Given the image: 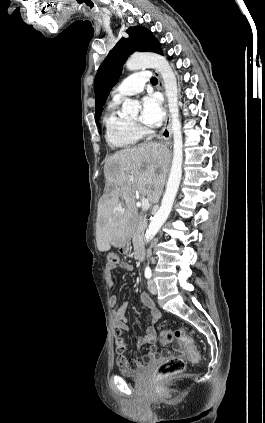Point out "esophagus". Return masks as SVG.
<instances>
[{"label": "esophagus", "instance_id": "1", "mask_svg": "<svg viewBox=\"0 0 265 423\" xmlns=\"http://www.w3.org/2000/svg\"><path fill=\"white\" fill-rule=\"evenodd\" d=\"M157 76L158 79V88L161 90V92L163 93L164 97H165V110H166V118H165V123H164V127L161 131L160 134V140L164 141V142H170L171 138H172V129H171V119H170V115L167 111V106H166V96H165V91H164V84H163V80L160 76V74L158 72L155 71L154 73Z\"/></svg>", "mask_w": 265, "mask_h": 423}]
</instances>
